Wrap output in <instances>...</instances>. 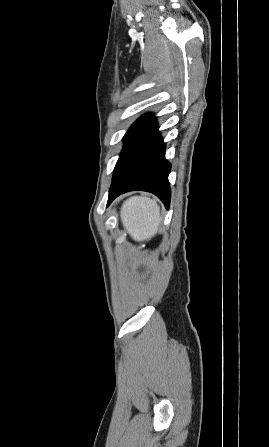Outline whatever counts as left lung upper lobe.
Here are the masks:
<instances>
[{
  "mask_svg": "<svg viewBox=\"0 0 269 447\" xmlns=\"http://www.w3.org/2000/svg\"><path fill=\"white\" fill-rule=\"evenodd\" d=\"M156 126L157 124L151 117V114L142 116L131 126V128L125 134V144L116 163L113 178L119 171L124 161L130 155V153L156 128Z\"/></svg>",
  "mask_w": 269,
  "mask_h": 447,
  "instance_id": "left-lung-upper-lobe-1",
  "label": "left lung upper lobe"
}]
</instances>
